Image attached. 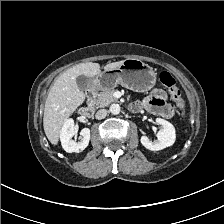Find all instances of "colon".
<instances>
[{
    "instance_id": "colon-1",
    "label": "colon",
    "mask_w": 224,
    "mask_h": 224,
    "mask_svg": "<svg viewBox=\"0 0 224 224\" xmlns=\"http://www.w3.org/2000/svg\"><path fill=\"white\" fill-rule=\"evenodd\" d=\"M160 81L168 89L171 98L176 102L177 106L181 110H185V102L175 78L169 72L163 71L160 74Z\"/></svg>"
}]
</instances>
